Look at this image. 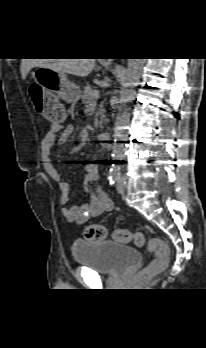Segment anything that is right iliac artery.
Instances as JSON below:
<instances>
[{
	"label": "right iliac artery",
	"mask_w": 206,
	"mask_h": 348,
	"mask_svg": "<svg viewBox=\"0 0 206 348\" xmlns=\"http://www.w3.org/2000/svg\"><path fill=\"white\" fill-rule=\"evenodd\" d=\"M110 171L109 180L110 184L113 185L120 179L121 172L119 167H114Z\"/></svg>",
	"instance_id": "82829eb1"
}]
</instances>
